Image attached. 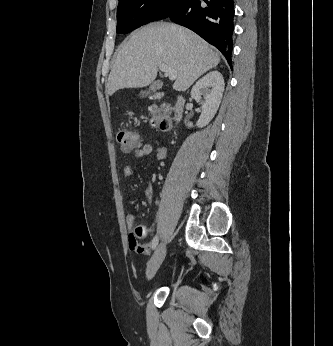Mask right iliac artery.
Segmentation results:
<instances>
[{
	"instance_id": "82829eb1",
	"label": "right iliac artery",
	"mask_w": 333,
	"mask_h": 346,
	"mask_svg": "<svg viewBox=\"0 0 333 346\" xmlns=\"http://www.w3.org/2000/svg\"><path fill=\"white\" fill-rule=\"evenodd\" d=\"M158 241H159V239H158V236L156 235L152 240V249L153 250L157 247Z\"/></svg>"
}]
</instances>
